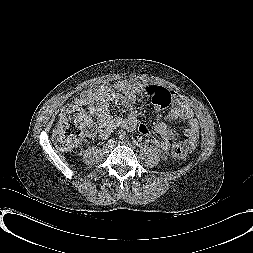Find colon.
I'll list each match as a JSON object with an SVG mask.
<instances>
[{
  "mask_svg": "<svg viewBox=\"0 0 253 253\" xmlns=\"http://www.w3.org/2000/svg\"><path fill=\"white\" fill-rule=\"evenodd\" d=\"M91 131L87 116L77 108L67 107L54 132L53 140L59 148L71 150L76 148ZM171 152L173 157L179 160H185L187 157V152L179 144H174Z\"/></svg>",
  "mask_w": 253,
  "mask_h": 253,
  "instance_id": "1",
  "label": "colon"
}]
</instances>
